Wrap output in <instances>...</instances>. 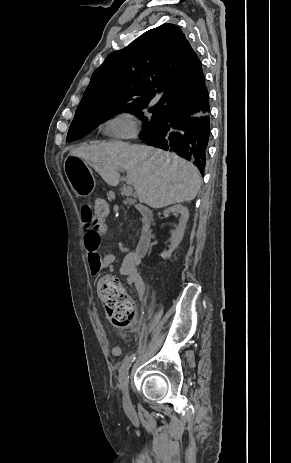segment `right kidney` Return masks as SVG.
<instances>
[{"label": "right kidney", "instance_id": "1", "mask_svg": "<svg viewBox=\"0 0 291 463\" xmlns=\"http://www.w3.org/2000/svg\"><path fill=\"white\" fill-rule=\"evenodd\" d=\"M171 213L180 214L181 218H180L179 224L176 227V229L171 232V245H170V248H169L170 252L175 250L178 247V245L180 244V242L182 241L183 236H184V231H185V228H186V224H187V221L189 219V211L183 205H174L172 207H169V208L165 209L164 212H163V214L165 216H167V215H169Z\"/></svg>", "mask_w": 291, "mask_h": 463}]
</instances>
